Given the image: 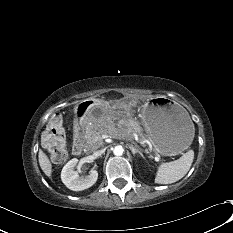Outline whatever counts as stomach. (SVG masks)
Instances as JSON below:
<instances>
[{
  "label": "stomach",
  "mask_w": 233,
  "mask_h": 233,
  "mask_svg": "<svg viewBox=\"0 0 233 233\" xmlns=\"http://www.w3.org/2000/svg\"><path fill=\"white\" fill-rule=\"evenodd\" d=\"M132 111L133 102L129 98L109 99L105 104L94 101V108L85 119L93 123L120 121ZM143 124L154 151L163 156L181 153L194 137V124L188 113L166 98L153 99L144 106Z\"/></svg>",
  "instance_id": "obj_1"
}]
</instances>
